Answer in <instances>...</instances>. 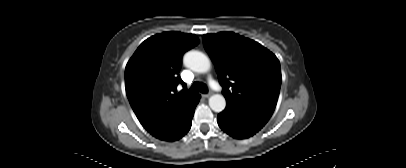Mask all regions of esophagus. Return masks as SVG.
Returning a JSON list of instances; mask_svg holds the SVG:
<instances>
[{"mask_svg":"<svg viewBox=\"0 0 406 168\" xmlns=\"http://www.w3.org/2000/svg\"><path fill=\"white\" fill-rule=\"evenodd\" d=\"M211 95H212V92H209V93L203 94L202 96L205 97V98H208V97H210Z\"/></svg>","mask_w":406,"mask_h":168,"instance_id":"34e87169","label":"esophagus"}]
</instances>
